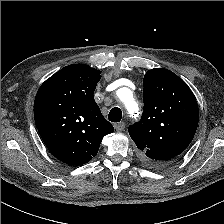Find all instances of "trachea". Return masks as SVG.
<instances>
[{
  "mask_svg": "<svg viewBox=\"0 0 224 224\" xmlns=\"http://www.w3.org/2000/svg\"><path fill=\"white\" fill-rule=\"evenodd\" d=\"M122 118V111L120 108L118 107H114L110 110L109 115H108V119L111 122H120Z\"/></svg>",
  "mask_w": 224,
  "mask_h": 224,
  "instance_id": "3493384b",
  "label": "trachea"
}]
</instances>
